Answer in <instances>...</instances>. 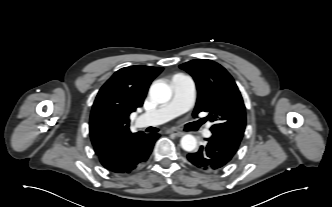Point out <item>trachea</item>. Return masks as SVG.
<instances>
[{"instance_id":"obj_1","label":"trachea","mask_w":332,"mask_h":207,"mask_svg":"<svg viewBox=\"0 0 332 207\" xmlns=\"http://www.w3.org/2000/svg\"><path fill=\"white\" fill-rule=\"evenodd\" d=\"M147 131H149V132H157V129L151 127V128H148Z\"/></svg>"}]
</instances>
